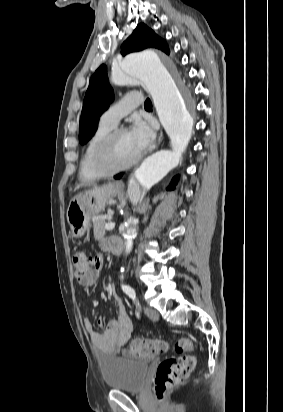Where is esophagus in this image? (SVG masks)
<instances>
[{
	"label": "esophagus",
	"mask_w": 283,
	"mask_h": 412,
	"mask_svg": "<svg viewBox=\"0 0 283 412\" xmlns=\"http://www.w3.org/2000/svg\"><path fill=\"white\" fill-rule=\"evenodd\" d=\"M162 139H163V131L161 130L160 133H159L157 145H159L161 143Z\"/></svg>",
	"instance_id": "obj_1"
}]
</instances>
